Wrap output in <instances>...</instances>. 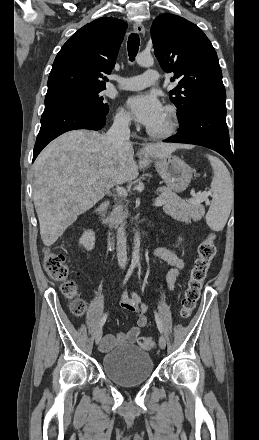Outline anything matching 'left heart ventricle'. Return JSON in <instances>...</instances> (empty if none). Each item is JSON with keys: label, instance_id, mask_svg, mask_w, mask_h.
<instances>
[{"label": "left heart ventricle", "instance_id": "left-heart-ventricle-1", "mask_svg": "<svg viewBox=\"0 0 259 440\" xmlns=\"http://www.w3.org/2000/svg\"><path fill=\"white\" fill-rule=\"evenodd\" d=\"M165 125H166V115H165V112H164L162 117H161V119L156 124L151 126L150 128L153 129V130H161V129H163L165 127Z\"/></svg>", "mask_w": 259, "mask_h": 440}]
</instances>
